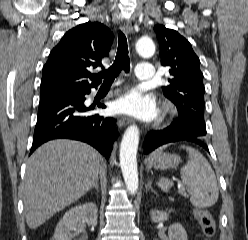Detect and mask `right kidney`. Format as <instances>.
<instances>
[{"label":"right kidney","mask_w":248,"mask_h":240,"mask_svg":"<svg viewBox=\"0 0 248 240\" xmlns=\"http://www.w3.org/2000/svg\"><path fill=\"white\" fill-rule=\"evenodd\" d=\"M85 224L97 225V207L94 203H85L67 211L55 229L53 240H69L70 231L83 230Z\"/></svg>","instance_id":"1"}]
</instances>
